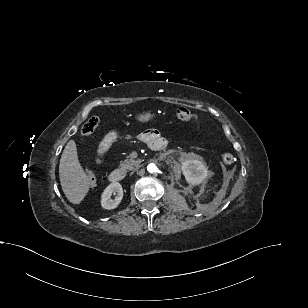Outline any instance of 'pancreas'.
Listing matches in <instances>:
<instances>
[{"label":"pancreas","instance_id":"obj_1","mask_svg":"<svg viewBox=\"0 0 308 308\" xmlns=\"http://www.w3.org/2000/svg\"><path fill=\"white\" fill-rule=\"evenodd\" d=\"M140 161H136L134 159H126L125 161L120 163V168L125 171L133 170L135 167H138Z\"/></svg>","mask_w":308,"mask_h":308}]
</instances>
